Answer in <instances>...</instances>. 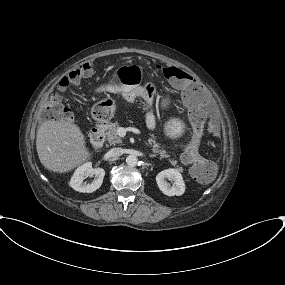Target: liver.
<instances>
[{
    "mask_svg": "<svg viewBox=\"0 0 285 285\" xmlns=\"http://www.w3.org/2000/svg\"><path fill=\"white\" fill-rule=\"evenodd\" d=\"M36 149L42 165L49 171L66 173L92 156L85 136L70 120H48L37 130Z\"/></svg>",
    "mask_w": 285,
    "mask_h": 285,
    "instance_id": "liver-1",
    "label": "liver"
}]
</instances>
